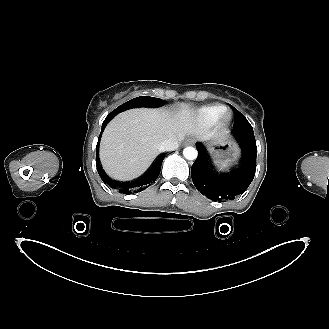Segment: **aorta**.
<instances>
[{"label": "aorta", "mask_w": 329, "mask_h": 329, "mask_svg": "<svg viewBox=\"0 0 329 329\" xmlns=\"http://www.w3.org/2000/svg\"><path fill=\"white\" fill-rule=\"evenodd\" d=\"M197 150L194 147H186L183 150V155L188 160H195L197 158Z\"/></svg>", "instance_id": "obj_1"}]
</instances>
